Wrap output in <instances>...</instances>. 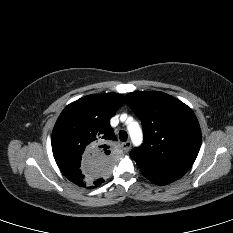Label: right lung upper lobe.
<instances>
[{
    "label": "right lung upper lobe",
    "mask_w": 233,
    "mask_h": 233,
    "mask_svg": "<svg viewBox=\"0 0 233 233\" xmlns=\"http://www.w3.org/2000/svg\"><path fill=\"white\" fill-rule=\"evenodd\" d=\"M116 93L88 95L67 105L52 132V151L62 173L85 189H96L110 176L118 154L109 120L124 103Z\"/></svg>",
    "instance_id": "obj_1"
}]
</instances>
